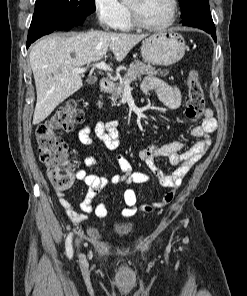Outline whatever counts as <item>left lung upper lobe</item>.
Instances as JSON below:
<instances>
[{
  "instance_id": "1",
  "label": "left lung upper lobe",
  "mask_w": 247,
  "mask_h": 296,
  "mask_svg": "<svg viewBox=\"0 0 247 296\" xmlns=\"http://www.w3.org/2000/svg\"><path fill=\"white\" fill-rule=\"evenodd\" d=\"M182 7V18H187L203 8H209L208 0H179Z\"/></svg>"
}]
</instances>
